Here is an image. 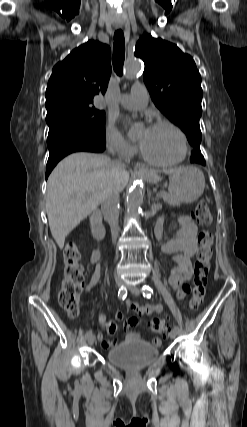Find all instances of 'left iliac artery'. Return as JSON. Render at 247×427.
<instances>
[{"label": "left iliac artery", "instance_id": "44dca946", "mask_svg": "<svg viewBox=\"0 0 247 427\" xmlns=\"http://www.w3.org/2000/svg\"><path fill=\"white\" fill-rule=\"evenodd\" d=\"M143 296L146 298H151V294L153 293V289L147 285H144L142 288ZM174 329L179 330L177 325L174 326Z\"/></svg>", "mask_w": 247, "mask_h": 427}]
</instances>
